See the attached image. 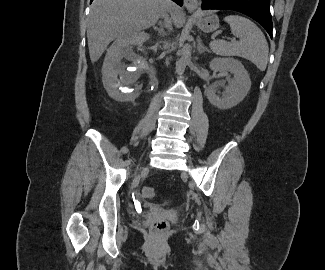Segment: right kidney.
<instances>
[{"instance_id":"1","label":"right kidney","mask_w":325,"mask_h":270,"mask_svg":"<svg viewBox=\"0 0 325 270\" xmlns=\"http://www.w3.org/2000/svg\"><path fill=\"white\" fill-rule=\"evenodd\" d=\"M148 39L147 33L139 32L128 38L117 39L107 50L102 80L108 95L114 100L126 102L137 98L146 76L153 74L154 68L148 62L143 46Z\"/></svg>"}]
</instances>
